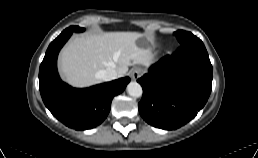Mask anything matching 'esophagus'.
<instances>
[{"label":"esophagus","mask_w":258,"mask_h":158,"mask_svg":"<svg viewBox=\"0 0 258 158\" xmlns=\"http://www.w3.org/2000/svg\"><path fill=\"white\" fill-rule=\"evenodd\" d=\"M143 71L140 68H134L131 72H130V77L133 80H137L141 75H142Z\"/></svg>","instance_id":"esophagus-1"}]
</instances>
